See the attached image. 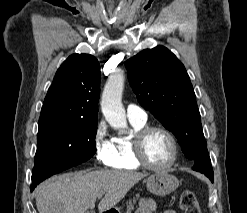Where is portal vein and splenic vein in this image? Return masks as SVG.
I'll return each mask as SVG.
<instances>
[{
  "label": "portal vein and splenic vein",
  "instance_id": "obj_1",
  "mask_svg": "<svg viewBox=\"0 0 247 213\" xmlns=\"http://www.w3.org/2000/svg\"><path fill=\"white\" fill-rule=\"evenodd\" d=\"M102 196H103V193H100V194L98 195L99 198H101Z\"/></svg>",
  "mask_w": 247,
  "mask_h": 213
}]
</instances>
